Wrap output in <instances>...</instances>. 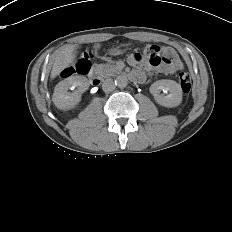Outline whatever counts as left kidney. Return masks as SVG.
I'll list each match as a JSON object with an SVG mask.
<instances>
[{
    "label": "left kidney",
    "instance_id": "left-kidney-1",
    "mask_svg": "<svg viewBox=\"0 0 232 232\" xmlns=\"http://www.w3.org/2000/svg\"><path fill=\"white\" fill-rule=\"evenodd\" d=\"M149 91L161 106L172 108L179 106L182 102L181 86L174 80H158L150 86ZM161 91H168L169 94H161Z\"/></svg>",
    "mask_w": 232,
    "mask_h": 232
}]
</instances>
